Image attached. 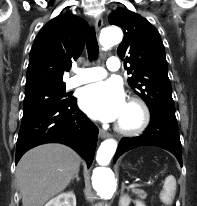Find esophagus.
Returning <instances> with one entry per match:
<instances>
[{
  "label": "esophagus",
  "instance_id": "1",
  "mask_svg": "<svg viewBox=\"0 0 197 206\" xmlns=\"http://www.w3.org/2000/svg\"><path fill=\"white\" fill-rule=\"evenodd\" d=\"M94 25H95V29L97 32H99L103 26V19L101 17H97L95 19V22H94ZM99 136L103 139L105 138H109L111 135L109 132L103 130V129H100L99 130Z\"/></svg>",
  "mask_w": 197,
  "mask_h": 206
}]
</instances>
